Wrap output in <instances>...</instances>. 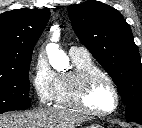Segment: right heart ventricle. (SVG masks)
I'll use <instances>...</instances> for the list:
<instances>
[{
  "label": "right heart ventricle",
  "mask_w": 142,
  "mask_h": 128,
  "mask_svg": "<svg viewBox=\"0 0 142 128\" xmlns=\"http://www.w3.org/2000/svg\"><path fill=\"white\" fill-rule=\"evenodd\" d=\"M74 64L73 71L69 73H61L57 75L56 90L54 93V103L62 108L74 109L76 108L71 98L72 78L75 73L100 70L91 57H72Z\"/></svg>",
  "instance_id": "e07e8e85"
}]
</instances>
